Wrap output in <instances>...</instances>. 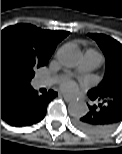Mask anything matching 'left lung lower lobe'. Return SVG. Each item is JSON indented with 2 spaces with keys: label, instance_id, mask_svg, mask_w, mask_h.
Segmentation results:
<instances>
[{
  "label": "left lung lower lobe",
  "instance_id": "0a47b994",
  "mask_svg": "<svg viewBox=\"0 0 122 154\" xmlns=\"http://www.w3.org/2000/svg\"><path fill=\"white\" fill-rule=\"evenodd\" d=\"M90 100L97 102L89 106L88 112L76 121V126L89 134L101 135L109 132L122 121V90L109 96L89 94Z\"/></svg>",
  "mask_w": 122,
  "mask_h": 154
}]
</instances>
